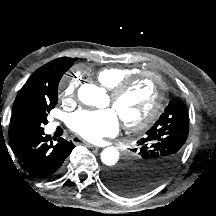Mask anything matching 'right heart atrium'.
I'll list each match as a JSON object with an SVG mask.
<instances>
[{"mask_svg": "<svg viewBox=\"0 0 216 216\" xmlns=\"http://www.w3.org/2000/svg\"><path fill=\"white\" fill-rule=\"evenodd\" d=\"M78 82L72 77H65L61 82L60 94L61 98H73L77 89Z\"/></svg>", "mask_w": 216, "mask_h": 216, "instance_id": "d8ad5b80", "label": "right heart atrium"}]
</instances>
